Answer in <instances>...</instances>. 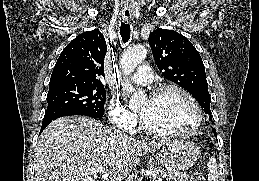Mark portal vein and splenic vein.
Returning <instances> with one entry per match:
<instances>
[{
    "instance_id": "obj_1",
    "label": "portal vein and splenic vein",
    "mask_w": 259,
    "mask_h": 181,
    "mask_svg": "<svg viewBox=\"0 0 259 181\" xmlns=\"http://www.w3.org/2000/svg\"><path fill=\"white\" fill-rule=\"evenodd\" d=\"M102 170H98V169H94V168H88L86 169V172L89 173L90 175H94L97 176V174L99 172H101ZM155 181H162L161 179L155 180Z\"/></svg>"
}]
</instances>
